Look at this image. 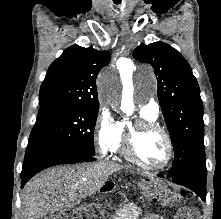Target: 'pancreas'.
I'll use <instances>...</instances> for the list:
<instances>
[{"mask_svg":"<svg viewBox=\"0 0 221 219\" xmlns=\"http://www.w3.org/2000/svg\"><path fill=\"white\" fill-rule=\"evenodd\" d=\"M142 210L133 203L126 204L116 211L112 219H138Z\"/></svg>","mask_w":221,"mask_h":219,"instance_id":"obj_1","label":"pancreas"}]
</instances>
